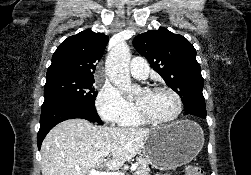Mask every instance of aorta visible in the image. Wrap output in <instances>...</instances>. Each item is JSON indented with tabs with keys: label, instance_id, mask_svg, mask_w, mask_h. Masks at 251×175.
Here are the masks:
<instances>
[{
	"label": "aorta",
	"instance_id": "aorta-1",
	"mask_svg": "<svg viewBox=\"0 0 251 175\" xmlns=\"http://www.w3.org/2000/svg\"><path fill=\"white\" fill-rule=\"evenodd\" d=\"M131 54L127 44H117L109 52L105 64L106 72L110 82L125 93H131L133 89H139V86L131 84L129 74V64Z\"/></svg>",
	"mask_w": 251,
	"mask_h": 175
}]
</instances>
